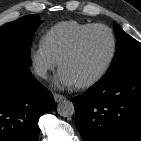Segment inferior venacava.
I'll return each instance as SVG.
<instances>
[{
  "label": "inferior vena cava",
  "mask_w": 141,
  "mask_h": 141,
  "mask_svg": "<svg viewBox=\"0 0 141 141\" xmlns=\"http://www.w3.org/2000/svg\"><path fill=\"white\" fill-rule=\"evenodd\" d=\"M35 73H36L38 76L44 78V77H46L47 68L44 67V66H36V67H35Z\"/></svg>",
  "instance_id": "1"
}]
</instances>
